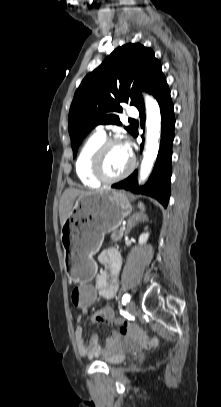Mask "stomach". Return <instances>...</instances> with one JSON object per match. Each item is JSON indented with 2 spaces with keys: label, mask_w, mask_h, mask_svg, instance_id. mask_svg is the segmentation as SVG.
Here are the masks:
<instances>
[{
  "label": "stomach",
  "mask_w": 221,
  "mask_h": 407,
  "mask_svg": "<svg viewBox=\"0 0 221 407\" xmlns=\"http://www.w3.org/2000/svg\"><path fill=\"white\" fill-rule=\"evenodd\" d=\"M132 211L128 196L112 189L80 196L61 227L64 265L75 283L90 281L96 273L93 256L104 236L115 231Z\"/></svg>",
  "instance_id": "1"
}]
</instances>
